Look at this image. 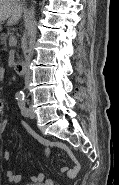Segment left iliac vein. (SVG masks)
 I'll return each mask as SVG.
<instances>
[{
	"label": "left iliac vein",
	"mask_w": 119,
	"mask_h": 185,
	"mask_svg": "<svg viewBox=\"0 0 119 185\" xmlns=\"http://www.w3.org/2000/svg\"><path fill=\"white\" fill-rule=\"evenodd\" d=\"M28 117L30 118H34L35 117V112L32 108V106L30 105L29 108H28V114H27Z\"/></svg>",
	"instance_id": "4c4485c4"
}]
</instances>
